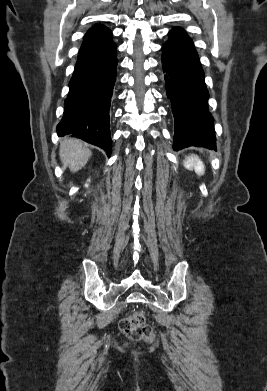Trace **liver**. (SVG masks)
Returning <instances> with one entry per match:
<instances>
[{
    "mask_svg": "<svg viewBox=\"0 0 267 391\" xmlns=\"http://www.w3.org/2000/svg\"><path fill=\"white\" fill-rule=\"evenodd\" d=\"M91 151L84 147L83 143L74 138H68L60 144V159L64 166L72 172H77L86 165L91 156Z\"/></svg>",
    "mask_w": 267,
    "mask_h": 391,
    "instance_id": "obj_1",
    "label": "liver"
}]
</instances>
